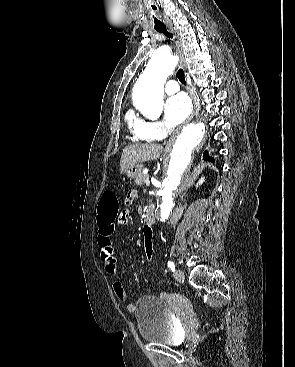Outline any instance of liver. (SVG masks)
<instances>
[{"label": "liver", "mask_w": 295, "mask_h": 367, "mask_svg": "<svg viewBox=\"0 0 295 367\" xmlns=\"http://www.w3.org/2000/svg\"><path fill=\"white\" fill-rule=\"evenodd\" d=\"M163 147L159 144H133L123 149L120 160V172L145 161L156 160L160 157Z\"/></svg>", "instance_id": "1"}]
</instances>
